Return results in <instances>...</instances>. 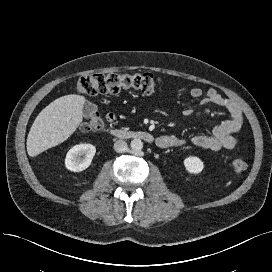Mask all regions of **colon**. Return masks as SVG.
<instances>
[{
    "mask_svg": "<svg viewBox=\"0 0 272 272\" xmlns=\"http://www.w3.org/2000/svg\"><path fill=\"white\" fill-rule=\"evenodd\" d=\"M158 79L150 73H98L82 76L76 85L79 94L95 96L99 94H117L122 90L134 89L145 94H152L158 86ZM111 113H92L82 124V130H101L107 122L112 121ZM247 167L242 157L231 159V168L236 173L243 172Z\"/></svg>",
    "mask_w": 272,
    "mask_h": 272,
    "instance_id": "colon-1",
    "label": "colon"
}]
</instances>
